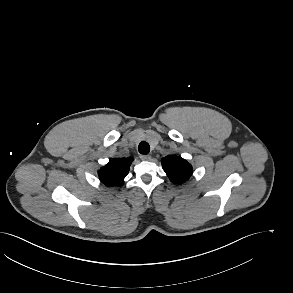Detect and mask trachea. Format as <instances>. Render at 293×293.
<instances>
[{
	"mask_svg": "<svg viewBox=\"0 0 293 293\" xmlns=\"http://www.w3.org/2000/svg\"><path fill=\"white\" fill-rule=\"evenodd\" d=\"M138 151L139 153L146 155L150 152V145L147 142L142 141L138 146Z\"/></svg>",
	"mask_w": 293,
	"mask_h": 293,
	"instance_id": "trachea-1",
	"label": "trachea"
}]
</instances>
